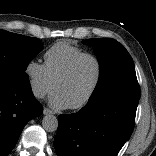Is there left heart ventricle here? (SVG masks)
<instances>
[{
    "instance_id": "left-heart-ventricle-1",
    "label": "left heart ventricle",
    "mask_w": 156,
    "mask_h": 156,
    "mask_svg": "<svg viewBox=\"0 0 156 156\" xmlns=\"http://www.w3.org/2000/svg\"><path fill=\"white\" fill-rule=\"evenodd\" d=\"M97 65L91 58L81 60L72 75L61 82L58 91L69 106L77 104L90 92L97 78Z\"/></svg>"
}]
</instances>
